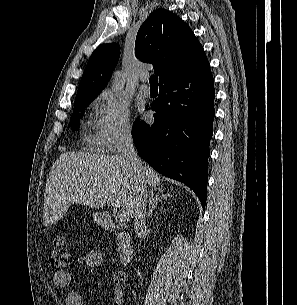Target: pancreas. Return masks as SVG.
Masks as SVG:
<instances>
[{"mask_svg":"<svg viewBox=\"0 0 297 305\" xmlns=\"http://www.w3.org/2000/svg\"><path fill=\"white\" fill-rule=\"evenodd\" d=\"M123 238H124V234L121 233V234L119 235V243H118L119 248H121V246H122V244H123Z\"/></svg>","mask_w":297,"mask_h":305,"instance_id":"pancreas-1","label":"pancreas"}]
</instances>
